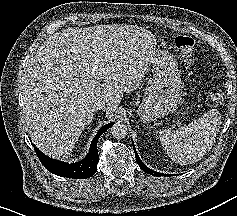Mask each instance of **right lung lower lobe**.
<instances>
[{
  "mask_svg": "<svg viewBox=\"0 0 237 216\" xmlns=\"http://www.w3.org/2000/svg\"><path fill=\"white\" fill-rule=\"evenodd\" d=\"M114 123H109L101 127L92 140L88 155L80 162L77 163H64L55 159H51L45 154H43L38 148L34 146L35 152L45 166V168L51 173L67 178L75 179H86L94 175L97 171V164L99 162L98 150H97V141L99 137L107 131L108 128L112 127Z\"/></svg>",
  "mask_w": 237,
  "mask_h": 216,
  "instance_id": "1",
  "label": "right lung lower lobe"
}]
</instances>
